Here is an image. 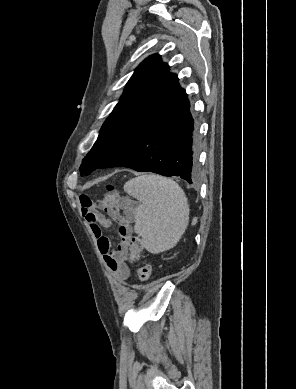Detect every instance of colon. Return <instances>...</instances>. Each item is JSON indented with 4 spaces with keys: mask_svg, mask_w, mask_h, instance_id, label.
Returning <instances> with one entry per match:
<instances>
[{
    "mask_svg": "<svg viewBox=\"0 0 296 389\" xmlns=\"http://www.w3.org/2000/svg\"><path fill=\"white\" fill-rule=\"evenodd\" d=\"M109 190H112V187H108ZM110 198H119L116 195H111ZM143 249L142 240L139 237H133L130 241L129 247V261L137 262L139 260L140 253ZM137 273L139 280L142 283H146L149 281L152 273V268L148 264L139 265L137 268Z\"/></svg>",
    "mask_w": 296,
    "mask_h": 389,
    "instance_id": "colon-1",
    "label": "colon"
}]
</instances>
